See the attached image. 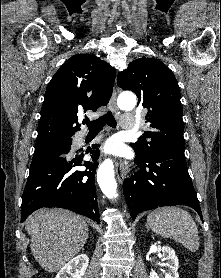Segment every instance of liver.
Listing matches in <instances>:
<instances>
[{"mask_svg": "<svg viewBox=\"0 0 221 278\" xmlns=\"http://www.w3.org/2000/svg\"><path fill=\"white\" fill-rule=\"evenodd\" d=\"M25 229L31 236L32 255L51 273L77 255L88 238V226L83 218L63 209H40L32 213Z\"/></svg>", "mask_w": 221, "mask_h": 278, "instance_id": "6515ba94", "label": "liver"}]
</instances>
